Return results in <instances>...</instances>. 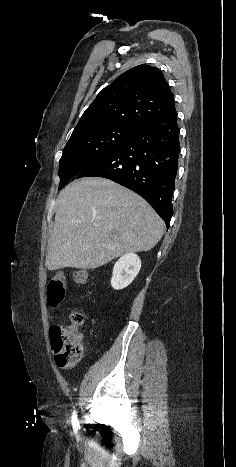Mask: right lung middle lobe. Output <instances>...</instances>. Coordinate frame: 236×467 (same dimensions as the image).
<instances>
[{
  "label": "right lung middle lobe",
  "instance_id": "dd1d6c3e",
  "mask_svg": "<svg viewBox=\"0 0 236 467\" xmlns=\"http://www.w3.org/2000/svg\"><path fill=\"white\" fill-rule=\"evenodd\" d=\"M136 131L127 126L108 125L72 134L59 162V189L71 177L113 151Z\"/></svg>",
  "mask_w": 236,
  "mask_h": 467
}]
</instances>
